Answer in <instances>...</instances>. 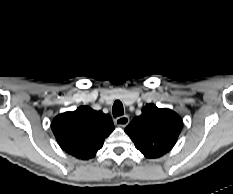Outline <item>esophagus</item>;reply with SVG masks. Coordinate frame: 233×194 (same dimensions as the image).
Masks as SVG:
<instances>
[{"label": "esophagus", "instance_id": "1", "mask_svg": "<svg viewBox=\"0 0 233 194\" xmlns=\"http://www.w3.org/2000/svg\"><path fill=\"white\" fill-rule=\"evenodd\" d=\"M116 124L120 127H125L129 123V117L127 115L119 116L115 120Z\"/></svg>", "mask_w": 233, "mask_h": 194}]
</instances>
